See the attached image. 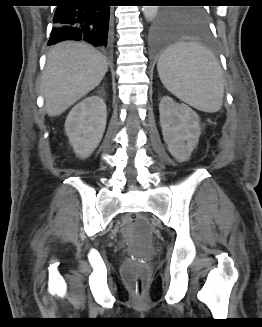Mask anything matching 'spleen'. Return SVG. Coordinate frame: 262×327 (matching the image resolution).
<instances>
[{"label": "spleen", "instance_id": "1", "mask_svg": "<svg viewBox=\"0 0 262 327\" xmlns=\"http://www.w3.org/2000/svg\"><path fill=\"white\" fill-rule=\"evenodd\" d=\"M157 69L165 88L183 102L209 113L221 108V66L204 47L196 43L172 45L160 56Z\"/></svg>", "mask_w": 262, "mask_h": 327}]
</instances>
